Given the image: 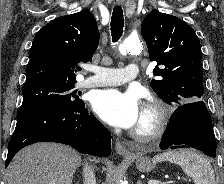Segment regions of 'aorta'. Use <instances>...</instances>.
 <instances>
[{
    "mask_svg": "<svg viewBox=\"0 0 224 184\" xmlns=\"http://www.w3.org/2000/svg\"><path fill=\"white\" fill-rule=\"evenodd\" d=\"M142 50V43L138 38H127L119 45V52L122 55L136 54Z\"/></svg>",
    "mask_w": 224,
    "mask_h": 184,
    "instance_id": "aorta-1",
    "label": "aorta"
}]
</instances>
